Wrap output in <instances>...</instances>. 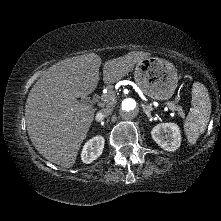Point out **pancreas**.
<instances>
[{"label": "pancreas", "mask_w": 221, "mask_h": 221, "mask_svg": "<svg viewBox=\"0 0 221 221\" xmlns=\"http://www.w3.org/2000/svg\"><path fill=\"white\" fill-rule=\"evenodd\" d=\"M103 96L108 104L114 103V91L113 90L110 89L109 92ZM178 111H179L180 116L184 117V113H183L182 109L178 108Z\"/></svg>", "instance_id": "pancreas-1"}]
</instances>
